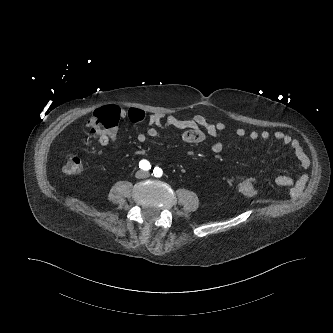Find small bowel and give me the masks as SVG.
I'll use <instances>...</instances> for the list:
<instances>
[{"label":"small bowel","mask_w":333,"mask_h":333,"mask_svg":"<svg viewBox=\"0 0 333 333\" xmlns=\"http://www.w3.org/2000/svg\"><path fill=\"white\" fill-rule=\"evenodd\" d=\"M120 115L134 123L147 122L148 127L146 131L139 133L136 137L139 143H145L149 138L158 137L160 135V129L170 127L183 131L179 138L184 143L198 144L203 142L206 138V135H208L213 139L212 143L210 144V150L212 153L218 154L224 148L223 142L220 139V135L227 130V125L224 122H211L203 115H194L189 119H183L164 113H153L147 115L143 110L138 108H130L123 111L119 110V116ZM233 133L238 138H244L248 136L249 139L253 141L259 139L265 141L276 139L291 148L297 161L304 170L308 169L309 167V159L305 154L299 140L293 138L283 131L252 130L247 132L244 128L237 127L233 130ZM116 142L117 136L113 132L100 135L96 139V144L100 148L113 146L116 144ZM276 181L280 186H290L291 194L294 195L298 193L304 185L305 176H301L297 179L281 176L278 177Z\"/></svg>","instance_id":"obj_1"}]
</instances>
